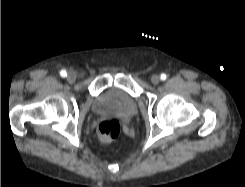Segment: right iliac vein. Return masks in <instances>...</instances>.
Returning <instances> with one entry per match:
<instances>
[{
    "label": "right iliac vein",
    "mask_w": 245,
    "mask_h": 187,
    "mask_svg": "<svg viewBox=\"0 0 245 187\" xmlns=\"http://www.w3.org/2000/svg\"><path fill=\"white\" fill-rule=\"evenodd\" d=\"M77 76L74 72H69L67 75L68 82L72 83L76 80Z\"/></svg>",
    "instance_id": "right-iliac-vein-1"
}]
</instances>
